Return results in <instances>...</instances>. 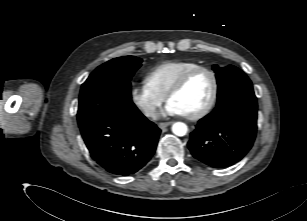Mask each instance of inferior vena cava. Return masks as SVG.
<instances>
[{"label":"inferior vena cava","mask_w":307,"mask_h":221,"mask_svg":"<svg viewBox=\"0 0 307 221\" xmlns=\"http://www.w3.org/2000/svg\"><path fill=\"white\" fill-rule=\"evenodd\" d=\"M146 115L147 116H151V117H156V110H155V108H151V109L147 110Z\"/></svg>","instance_id":"obj_1"}]
</instances>
